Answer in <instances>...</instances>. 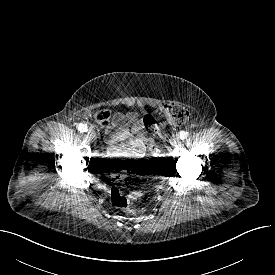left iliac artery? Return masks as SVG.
<instances>
[{
    "mask_svg": "<svg viewBox=\"0 0 275 275\" xmlns=\"http://www.w3.org/2000/svg\"><path fill=\"white\" fill-rule=\"evenodd\" d=\"M188 132H186V131H180L179 132V138L181 139V140H184V139H186L187 137H188Z\"/></svg>",
    "mask_w": 275,
    "mask_h": 275,
    "instance_id": "left-iliac-artery-1",
    "label": "left iliac artery"
}]
</instances>
